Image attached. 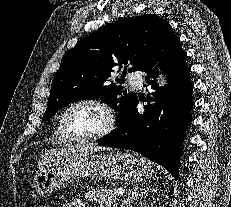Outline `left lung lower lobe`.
<instances>
[{"mask_svg": "<svg viewBox=\"0 0 231 207\" xmlns=\"http://www.w3.org/2000/svg\"><path fill=\"white\" fill-rule=\"evenodd\" d=\"M185 58L186 52L182 50L179 38L156 58L169 81L160 88L155 80L158 70L153 69L154 63L150 61L142 70L146 72L148 86L154 90L152 96H147L145 112L141 114L136 109V98L122 116L118 128L99 139L98 144L139 152L178 179L180 148L193 107L194 85L189 79L190 68Z\"/></svg>", "mask_w": 231, "mask_h": 207, "instance_id": "left-lung-lower-lobe-1", "label": "left lung lower lobe"}]
</instances>
